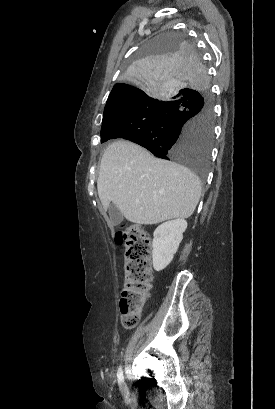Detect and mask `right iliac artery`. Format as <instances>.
Returning a JSON list of instances; mask_svg holds the SVG:
<instances>
[{"label":"right iliac artery","mask_w":275,"mask_h":409,"mask_svg":"<svg viewBox=\"0 0 275 409\" xmlns=\"http://www.w3.org/2000/svg\"><path fill=\"white\" fill-rule=\"evenodd\" d=\"M117 377L119 382H123V371L121 366L118 368Z\"/></svg>","instance_id":"obj_1"}]
</instances>
